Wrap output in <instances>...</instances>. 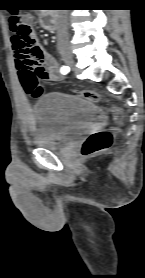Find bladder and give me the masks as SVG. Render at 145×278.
<instances>
[{
	"label": "bladder",
	"instance_id": "1",
	"mask_svg": "<svg viewBox=\"0 0 145 278\" xmlns=\"http://www.w3.org/2000/svg\"><path fill=\"white\" fill-rule=\"evenodd\" d=\"M99 116L93 101L63 92L41 96L35 104L32 142L57 149L75 140Z\"/></svg>",
	"mask_w": 145,
	"mask_h": 278
}]
</instances>
